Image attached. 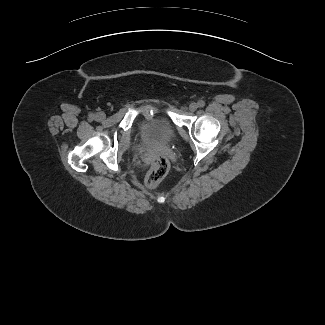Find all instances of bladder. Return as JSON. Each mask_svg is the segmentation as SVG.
Listing matches in <instances>:
<instances>
[{"label":"bladder","mask_w":325,"mask_h":325,"mask_svg":"<svg viewBox=\"0 0 325 325\" xmlns=\"http://www.w3.org/2000/svg\"><path fill=\"white\" fill-rule=\"evenodd\" d=\"M140 133L160 143L171 142L176 135L172 122L165 117H156L144 122Z\"/></svg>","instance_id":"obj_1"}]
</instances>
